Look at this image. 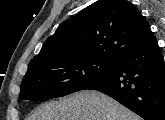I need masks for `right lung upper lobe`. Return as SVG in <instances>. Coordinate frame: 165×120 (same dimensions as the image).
<instances>
[{"label": "right lung upper lobe", "mask_w": 165, "mask_h": 120, "mask_svg": "<svg viewBox=\"0 0 165 120\" xmlns=\"http://www.w3.org/2000/svg\"><path fill=\"white\" fill-rule=\"evenodd\" d=\"M154 36L140 11L127 0H98L59 25L29 63L73 58L115 62Z\"/></svg>", "instance_id": "1"}]
</instances>
